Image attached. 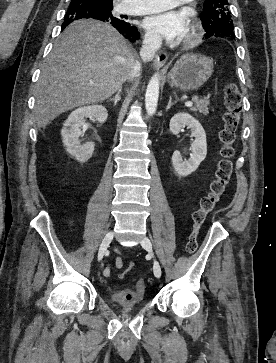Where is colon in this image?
<instances>
[{
  "label": "colon",
  "instance_id": "1",
  "mask_svg": "<svg viewBox=\"0 0 276 363\" xmlns=\"http://www.w3.org/2000/svg\"><path fill=\"white\" fill-rule=\"evenodd\" d=\"M224 93L227 111L224 115V127L219 134L222 143L220 150L221 160L218 165L216 177L211 183L209 193L201 199L199 208L192 215L193 227L185 247L186 252L189 254H193L197 250L201 226L207 215L214 209L224 194L232 174L233 145L236 139L241 97L237 87L233 83L226 85ZM132 267L133 263H130L128 268L130 269Z\"/></svg>",
  "mask_w": 276,
  "mask_h": 363
}]
</instances>
